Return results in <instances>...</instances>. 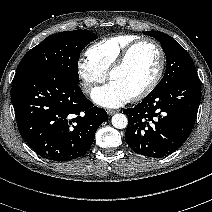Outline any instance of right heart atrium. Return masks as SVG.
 Returning <instances> with one entry per match:
<instances>
[{
    "mask_svg": "<svg viewBox=\"0 0 212 212\" xmlns=\"http://www.w3.org/2000/svg\"><path fill=\"white\" fill-rule=\"evenodd\" d=\"M77 75L84 93L89 94L106 80V73L97 68L88 58H80L76 65Z\"/></svg>",
    "mask_w": 212,
    "mask_h": 212,
    "instance_id": "1",
    "label": "right heart atrium"
}]
</instances>
